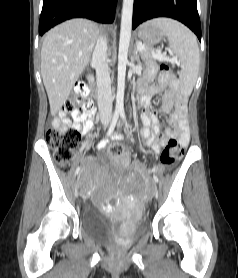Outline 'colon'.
<instances>
[{
	"mask_svg": "<svg viewBox=\"0 0 238 278\" xmlns=\"http://www.w3.org/2000/svg\"><path fill=\"white\" fill-rule=\"evenodd\" d=\"M160 78L169 87L174 75L166 64L160 66ZM66 112L89 113L93 111V103L88 95V88L84 82L75 85L72 93L64 104ZM46 140L53 151L57 163L62 166L68 165L79 144L80 133L73 127L66 129L50 128L46 132ZM127 151L121 145L115 144L109 148L111 158L120 161L127 155ZM184 155L183 146L175 139H170L160 156V163L163 167L171 166L182 159Z\"/></svg>",
	"mask_w": 238,
	"mask_h": 278,
	"instance_id": "obj_1",
	"label": "colon"
}]
</instances>
